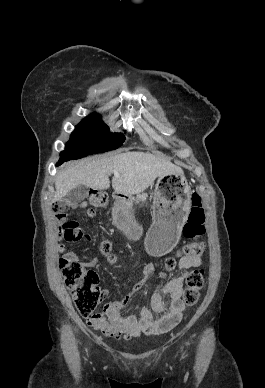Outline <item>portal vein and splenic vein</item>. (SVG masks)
<instances>
[{
  "mask_svg": "<svg viewBox=\"0 0 265 388\" xmlns=\"http://www.w3.org/2000/svg\"><path fill=\"white\" fill-rule=\"evenodd\" d=\"M113 174L114 176H119V172H117V170H114Z\"/></svg>",
  "mask_w": 265,
  "mask_h": 388,
  "instance_id": "obj_1",
  "label": "portal vein and splenic vein"
}]
</instances>
